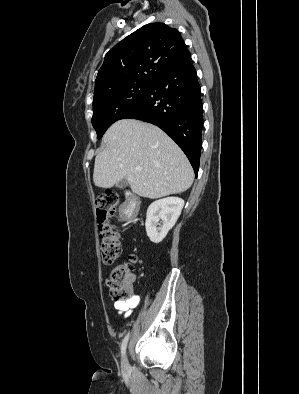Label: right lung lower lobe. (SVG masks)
<instances>
[{
  "instance_id": "98d812e1",
  "label": "right lung lower lobe",
  "mask_w": 299,
  "mask_h": 394,
  "mask_svg": "<svg viewBox=\"0 0 299 394\" xmlns=\"http://www.w3.org/2000/svg\"><path fill=\"white\" fill-rule=\"evenodd\" d=\"M125 118L149 122L165 131L184 151L197 175L203 116L201 87L190 54L159 75L121 119Z\"/></svg>"
}]
</instances>
